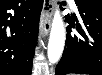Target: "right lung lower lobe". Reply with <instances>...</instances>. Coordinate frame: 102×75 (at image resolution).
Instances as JSON below:
<instances>
[{
    "label": "right lung lower lobe",
    "mask_w": 102,
    "mask_h": 75,
    "mask_svg": "<svg viewBox=\"0 0 102 75\" xmlns=\"http://www.w3.org/2000/svg\"><path fill=\"white\" fill-rule=\"evenodd\" d=\"M42 6L43 0H0V75H31Z\"/></svg>",
    "instance_id": "98d812e1"
}]
</instances>
